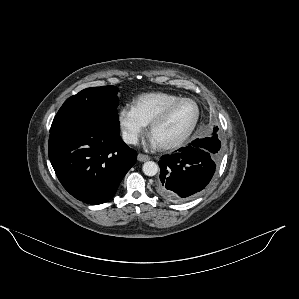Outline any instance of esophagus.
<instances>
[{
    "label": "esophagus",
    "mask_w": 299,
    "mask_h": 299,
    "mask_svg": "<svg viewBox=\"0 0 299 299\" xmlns=\"http://www.w3.org/2000/svg\"><path fill=\"white\" fill-rule=\"evenodd\" d=\"M137 159H138V161L145 162L147 160H150V156H148L146 154L139 153L137 156Z\"/></svg>",
    "instance_id": "34e87169"
}]
</instances>
